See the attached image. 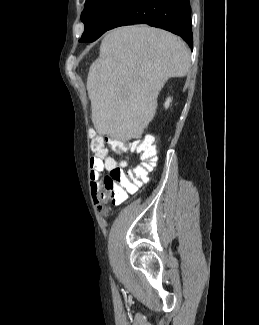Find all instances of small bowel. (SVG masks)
<instances>
[{"mask_svg": "<svg viewBox=\"0 0 259 325\" xmlns=\"http://www.w3.org/2000/svg\"><path fill=\"white\" fill-rule=\"evenodd\" d=\"M117 165V162L106 156L103 160L94 157L90 161V187L95 203L98 205L99 211L103 212L106 201L100 197V182L99 179L104 170H110Z\"/></svg>", "mask_w": 259, "mask_h": 325, "instance_id": "small-bowel-1", "label": "small bowel"}]
</instances>
